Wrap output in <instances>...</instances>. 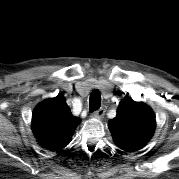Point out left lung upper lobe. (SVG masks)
<instances>
[{
	"label": "left lung upper lobe",
	"instance_id": "5c2ea615",
	"mask_svg": "<svg viewBox=\"0 0 179 179\" xmlns=\"http://www.w3.org/2000/svg\"><path fill=\"white\" fill-rule=\"evenodd\" d=\"M155 126L151 108L130 97L120 102L116 117L108 123L114 142L127 151H135L146 145L154 134Z\"/></svg>",
	"mask_w": 179,
	"mask_h": 179
}]
</instances>
